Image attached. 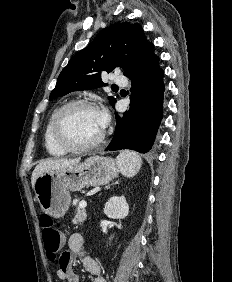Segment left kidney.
I'll return each mask as SVG.
<instances>
[{"label":"left kidney","mask_w":232,"mask_h":282,"mask_svg":"<svg viewBox=\"0 0 232 282\" xmlns=\"http://www.w3.org/2000/svg\"><path fill=\"white\" fill-rule=\"evenodd\" d=\"M104 213L109 218L124 219L129 213V205L124 196H113L105 204Z\"/></svg>","instance_id":"1"}]
</instances>
